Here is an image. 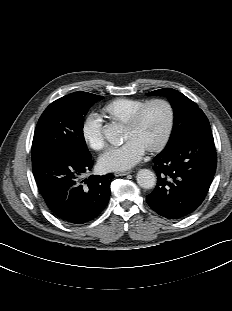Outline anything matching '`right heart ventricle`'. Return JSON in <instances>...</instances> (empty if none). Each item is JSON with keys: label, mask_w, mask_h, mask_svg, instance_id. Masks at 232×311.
Wrapping results in <instances>:
<instances>
[{"label": "right heart ventricle", "mask_w": 232, "mask_h": 311, "mask_svg": "<svg viewBox=\"0 0 232 311\" xmlns=\"http://www.w3.org/2000/svg\"><path fill=\"white\" fill-rule=\"evenodd\" d=\"M148 101L147 99L117 98L105 106V112L113 124L125 125L132 115Z\"/></svg>", "instance_id": "e07e8e85"}]
</instances>
